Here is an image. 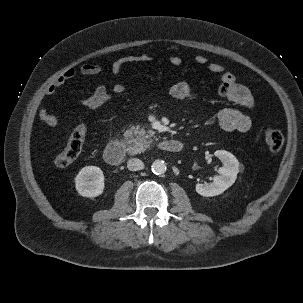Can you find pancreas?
<instances>
[{
  "mask_svg": "<svg viewBox=\"0 0 303 303\" xmlns=\"http://www.w3.org/2000/svg\"><path fill=\"white\" fill-rule=\"evenodd\" d=\"M155 132L152 130H145L140 126H132L126 130L124 137L128 140V152L130 154H137L143 152L153 142L152 137Z\"/></svg>",
  "mask_w": 303,
  "mask_h": 303,
  "instance_id": "pancreas-1",
  "label": "pancreas"
}]
</instances>
